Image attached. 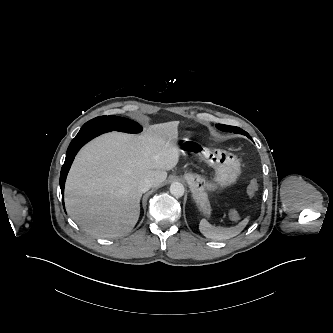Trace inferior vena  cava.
Instances as JSON below:
<instances>
[{"label": "inferior vena cava", "mask_w": 333, "mask_h": 333, "mask_svg": "<svg viewBox=\"0 0 333 333\" xmlns=\"http://www.w3.org/2000/svg\"><path fill=\"white\" fill-rule=\"evenodd\" d=\"M153 186V181L149 178L142 179L138 184V189L140 192L144 193L148 191Z\"/></svg>", "instance_id": "inferior-vena-cava-1"}]
</instances>
